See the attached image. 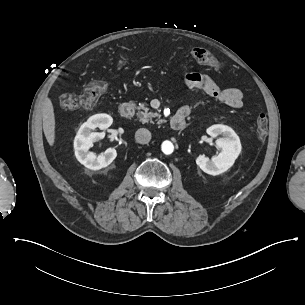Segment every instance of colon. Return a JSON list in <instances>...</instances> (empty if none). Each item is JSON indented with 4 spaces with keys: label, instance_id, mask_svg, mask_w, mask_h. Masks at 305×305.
<instances>
[{
    "label": "colon",
    "instance_id": "5ec220e1",
    "mask_svg": "<svg viewBox=\"0 0 305 305\" xmlns=\"http://www.w3.org/2000/svg\"><path fill=\"white\" fill-rule=\"evenodd\" d=\"M192 55L200 64L211 67L216 72L224 70V64L214 58L208 49L204 47H195ZM128 63L127 57H120L118 67L121 68ZM108 90V82L103 77H94L89 81L82 95L77 96L71 93H64L60 96L59 101L65 109L92 108L99 100L100 96ZM268 119L264 113L256 118V136L259 143H263L266 138Z\"/></svg>",
    "mask_w": 305,
    "mask_h": 305
}]
</instances>
